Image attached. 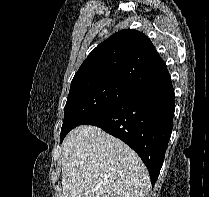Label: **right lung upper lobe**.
Wrapping results in <instances>:
<instances>
[{
    "mask_svg": "<svg viewBox=\"0 0 209 197\" xmlns=\"http://www.w3.org/2000/svg\"><path fill=\"white\" fill-rule=\"evenodd\" d=\"M150 39L134 29L113 34L91 51L71 84L89 80H114L137 90L168 76Z\"/></svg>",
    "mask_w": 209,
    "mask_h": 197,
    "instance_id": "cb5924a9",
    "label": "right lung upper lobe"
}]
</instances>
